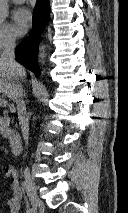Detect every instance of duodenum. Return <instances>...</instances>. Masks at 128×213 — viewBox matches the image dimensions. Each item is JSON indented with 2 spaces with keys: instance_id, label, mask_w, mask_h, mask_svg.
<instances>
[{
  "instance_id": "410a0bca",
  "label": "duodenum",
  "mask_w": 128,
  "mask_h": 213,
  "mask_svg": "<svg viewBox=\"0 0 128 213\" xmlns=\"http://www.w3.org/2000/svg\"><path fill=\"white\" fill-rule=\"evenodd\" d=\"M10 149L13 155H17L22 147L21 135L18 131H11L8 135Z\"/></svg>"
}]
</instances>
